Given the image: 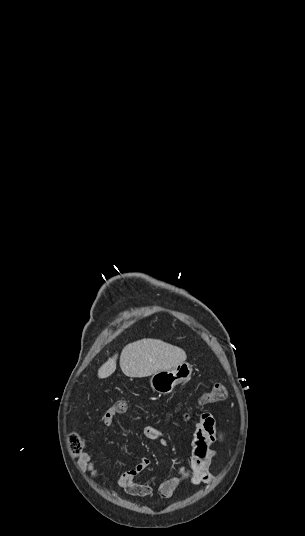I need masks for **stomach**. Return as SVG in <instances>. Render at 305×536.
<instances>
[{
	"instance_id": "1",
	"label": "stomach",
	"mask_w": 305,
	"mask_h": 536,
	"mask_svg": "<svg viewBox=\"0 0 305 536\" xmlns=\"http://www.w3.org/2000/svg\"><path fill=\"white\" fill-rule=\"evenodd\" d=\"M193 368L188 362L177 364L171 370H161L151 376L150 386L158 394H170L177 384L191 380Z\"/></svg>"
}]
</instances>
